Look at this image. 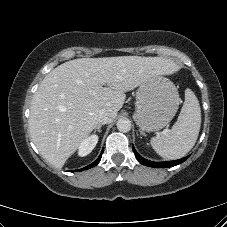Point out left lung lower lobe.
<instances>
[{"mask_svg": "<svg viewBox=\"0 0 227 227\" xmlns=\"http://www.w3.org/2000/svg\"><path fill=\"white\" fill-rule=\"evenodd\" d=\"M133 151H134V154H135L136 158L139 160V162H141L142 164H144L146 166L155 167V168L173 167L175 165H178V164L184 162L189 157V156H187V157H184L182 159L175 160V161L153 162V161H149V160L144 159L143 157H141L137 153V151L135 150L134 147H133Z\"/></svg>", "mask_w": 227, "mask_h": 227, "instance_id": "obj_1", "label": "left lung lower lobe"}]
</instances>
